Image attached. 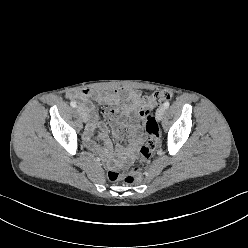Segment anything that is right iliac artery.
<instances>
[{
  "mask_svg": "<svg viewBox=\"0 0 248 248\" xmlns=\"http://www.w3.org/2000/svg\"><path fill=\"white\" fill-rule=\"evenodd\" d=\"M70 105H71L73 108L77 107V104H76V102H74V101H71V102H70Z\"/></svg>",
  "mask_w": 248,
  "mask_h": 248,
  "instance_id": "1",
  "label": "right iliac artery"
}]
</instances>
